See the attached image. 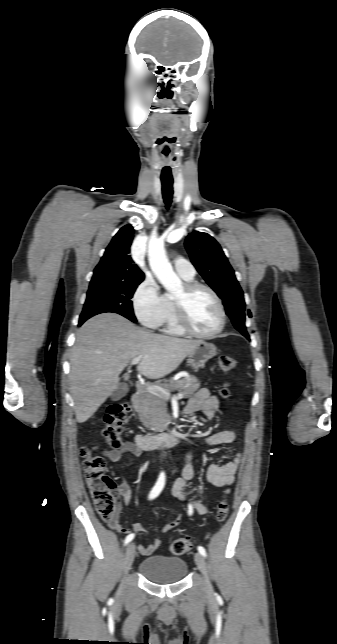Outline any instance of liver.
<instances>
[{"label":"liver","instance_id":"1","mask_svg":"<svg viewBox=\"0 0 337 644\" xmlns=\"http://www.w3.org/2000/svg\"><path fill=\"white\" fill-rule=\"evenodd\" d=\"M199 343L154 334L114 313L90 318L79 329L70 356V392L77 422L87 421L112 395L119 386V374L132 359L141 356L137 370L149 379H159L173 372Z\"/></svg>","mask_w":337,"mask_h":644}]
</instances>
